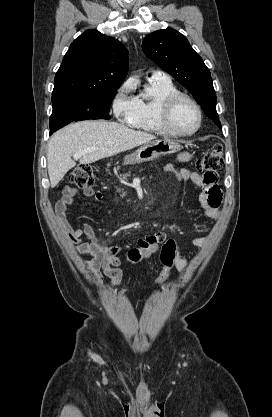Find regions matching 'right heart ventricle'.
Instances as JSON below:
<instances>
[{
    "instance_id": "obj_1",
    "label": "right heart ventricle",
    "mask_w": 272,
    "mask_h": 417,
    "mask_svg": "<svg viewBox=\"0 0 272 417\" xmlns=\"http://www.w3.org/2000/svg\"><path fill=\"white\" fill-rule=\"evenodd\" d=\"M176 92L179 91L169 78H148L142 92L135 98V111L129 125L146 132L169 136L160 123L159 112L162 102Z\"/></svg>"
}]
</instances>
